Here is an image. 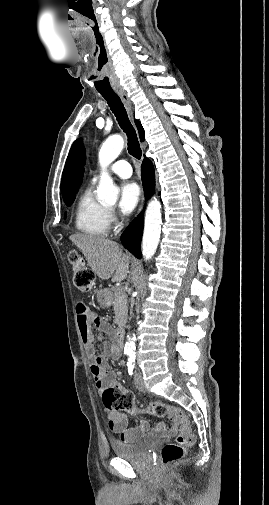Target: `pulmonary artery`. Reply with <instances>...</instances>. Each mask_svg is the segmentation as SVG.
I'll list each match as a JSON object with an SVG mask.
<instances>
[{"mask_svg": "<svg viewBox=\"0 0 269 505\" xmlns=\"http://www.w3.org/2000/svg\"><path fill=\"white\" fill-rule=\"evenodd\" d=\"M109 171L113 174L118 175L122 178H129L132 175V169L130 164L125 160H118L114 162L110 167ZM98 179V175H95L93 181Z\"/></svg>", "mask_w": 269, "mask_h": 505, "instance_id": "pulmonary-artery-1", "label": "pulmonary artery"}]
</instances>
